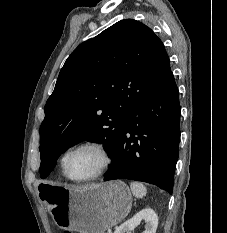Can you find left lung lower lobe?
<instances>
[{
  "instance_id": "1",
  "label": "left lung lower lobe",
  "mask_w": 227,
  "mask_h": 233,
  "mask_svg": "<svg viewBox=\"0 0 227 233\" xmlns=\"http://www.w3.org/2000/svg\"><path fill=\"white\" fill-rule=\"evenodd\" d=\"M179 92L172 72L130 112L104 181L130 179L172 194L180 141Z\"/></svg>"
}]
</instances>
